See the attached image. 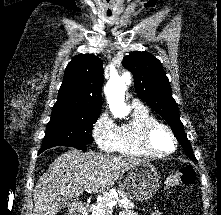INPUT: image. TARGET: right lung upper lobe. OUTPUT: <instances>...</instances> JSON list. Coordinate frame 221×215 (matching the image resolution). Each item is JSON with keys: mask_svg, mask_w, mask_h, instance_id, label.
Wrapping results in <instances>:
<instances>
[{"mask_svg": "<svg viewBox=\"0 0 221 215\" xmlns=\"http://www.w3.org/2000/svg\"><path fill=\"white\" fill-rule=\"evenodd\" d=\"M103 63L93 54L76 55L67 65L52 113L61 111L100 112Z\"/></svg>", "mask_w": 221, "mask_h": 215, "instance_id": "cb5924a9", "label": "right lung upper lobe"}]
</instances>
